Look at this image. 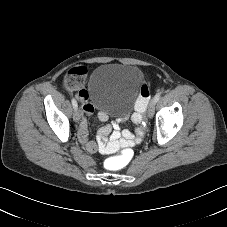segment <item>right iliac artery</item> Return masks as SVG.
Returning a JSON list of instances; mask_svg holds the SVG:
<instances>
[{
    "mask_svg": "<svg viewBox=\"0 0 227 227\" xmlns=\"http://www.w3.org/2000/svg\"><path fill=\"white\" fill-rule=\"evenodd\" d=\"M72 105H73L74 109H77V107H78L77 101L74 98H72Z\"/></svg>",
    "mask_w": 227,
    "mask_h": 227,
    "instance_id": "82829eb1",
    "label": "right iliac artery"
}]
</instances>
